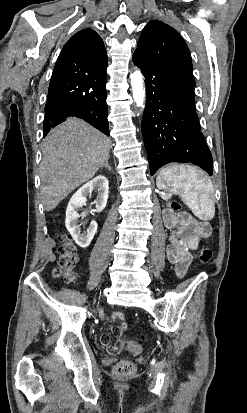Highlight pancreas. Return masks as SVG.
Segmentation results:
<instances>
[{"label": "pancreas", "instance_id": "pancreas-1", "mask_svg": "<svg viewBox=\"0 0 247 413\" xmlns=\"http://www.w3.org/2000/svg\"><path fill=\"white\" fill-rule=\"evenodd\" d=\"M162 198H164V200H168V198H171L172 194H161Z\"/></svg>", "mask_w": 247, "mask_h": 413}]
</instances>
